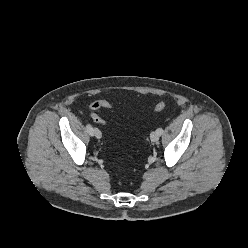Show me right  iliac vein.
Returning a JSON list of instances; mask_svg holds the SVG:
<instances>
[{"label": "right iliac vein", "mask_w": 248, "mask_h": 248, "mask_svg": "<svg viewBox=\"0 0 248 248\" xmlns=\"http://www.w3.org/2000/svg\"><path fill=\"white\" fill-rule=\"evenodd\" d=\"M93 135H94L96 138H101V136H102L101 131H100L98 128H94V129H93Z\"/></svg>", "instance_id": "1"}]
</instances>
